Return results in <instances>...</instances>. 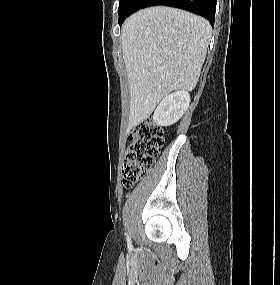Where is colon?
<instances>
[{
	"mask_svg": "<svg viewBox=\"0 0 280 285\" xmlns=\"http://www.w3.org/2000/svg\"><path fill=\"white\" fill-rule=\"evenodd\" d=\"M163 145V130L152 121H142L132 127L122 165V182L126 188L143 178Z\"/></svg>",
	"mask_w": 280,
	"mask_h": 285,
	"instance_id": "5ec220e1",
	"label": "colon"
}]
</instances>
